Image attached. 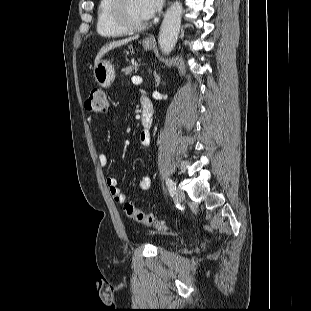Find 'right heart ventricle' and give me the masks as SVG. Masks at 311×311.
<instances>
[{"label":"right heart ventricle","mask_w":311,"mask_h":311,"mask_svg":"<svg viewBox=\"0 0 311 311\" xmlns=\"http://www.w3.org/2000/svg\"><path fill=\"white\" fill-rule=\"evenodd\" d=\"M111 0H99L96 10V31L105 37H121L127 34L111 17Z\"/></svg>","instance_id":"obj_1"}]
</instances>
